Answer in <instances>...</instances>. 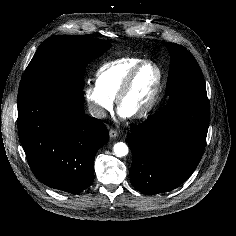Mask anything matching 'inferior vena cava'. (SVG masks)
<instances>
[{
  "label": "inferior vena cava",
  "mask_w": 236,
  "mask_h": 236,
  "mask_svg": "<svg viewBox=\"0 0 236 236\" xmlns=\"http://www.w3.org/2000/svg\"><path fill=\"white\" fill-rule=\"evenodd\" d=\"M88 110L91 116L95 118L102 119L106 117L105 110L95 102L88 103Z\"/></svg>",
  "instance_id": "obj_1"
}]
</instances>
